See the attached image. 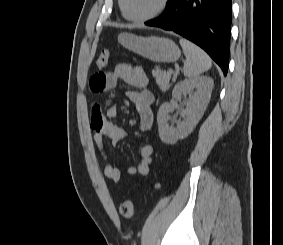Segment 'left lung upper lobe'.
<instances>
[{
	"instance_id": "1",
	"label": "left lung upper lobe",
	"mask_w": 283,
	"mask_h": 245,
	"mask_svg": "<svg viewBox=\"0 0 283 245\" xmlns=\"http://www.w3.org/2000/svg\"><path fill=\"white\" fill-rule=\"evenodd\" d=\"M171 1H172V0H168V3H167V4H169Z\"/></svg>"
}]
</instances>
